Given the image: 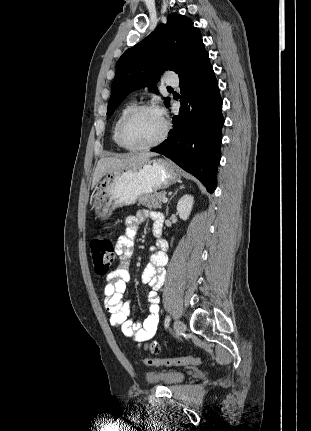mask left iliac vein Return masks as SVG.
I'll return each mask as SVG.
<instances>
[{"instance_id": "left-iliac-vein-1", "label": "left iliac vein", "mask_w": 311, "mask_h": 431, "mask_svg": "<svg viewBox=\"0 0 311 431\" xmlns=\"http://www.w3.org/2000/svg\"><path fill=\"white\" fill-rule=\"evenodd\" d=\"M186 331V325L184 324V322H182L181 320H176L175 322V334L176 337H180L184 334V332Z\"/></svg>"}]
</instances>
